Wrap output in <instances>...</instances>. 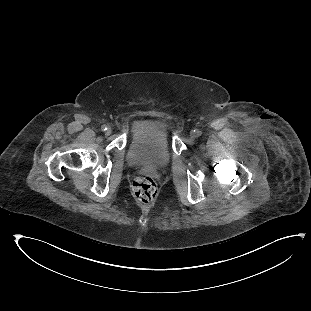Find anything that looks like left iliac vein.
<instances>
[{
  "mask_svg": "<svg viewBox=\"0 0 311 311\" xmlns=\"http://www.w3.org/2000/svg\"><path fill=\"white\" fill-rule=\"evenodd\" d=\"M196 136H197L196 131H195V130H192V131L190 132V138H191V139H195Z\"/></svg>",
  "mask_w": 311,
  "mask_h": 311,
  "instance_id": "obj_1",
  "label": "left iliac vein"
}]
</instances>
